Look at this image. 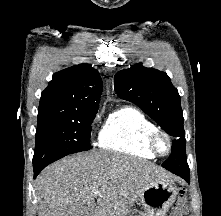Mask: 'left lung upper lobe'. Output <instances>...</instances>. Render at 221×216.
<instances>
[{
  "mask_svg": "<svg viewBox=\"0 0 221 216\" xmlns=\"http://www.w3.org/2000/svg\"><path fill=\"white\" fill-rule=\"evenodd\" d=\"M114 88L120 98L138 105L175 138L172 142V153L162 164L164 168L171 171L175 168L173 153H185L186 141L180 96L168 75L136 64L115 75Z\"/></svg>",
  "mask_w": 221,
  "mask_h": 216,
  "instance_id": "left-lung-upper-lobe-1",
  "label": "left lung upper lobe"
}]
</instances>
